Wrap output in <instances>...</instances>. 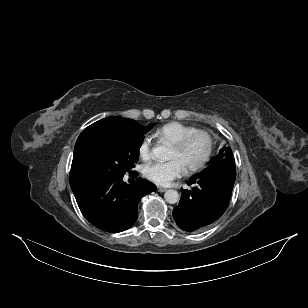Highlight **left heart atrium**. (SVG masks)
<instances>
[{
	"label": "left heart atrium",
	"instance_id": "left-heart-atrium-1",
	"mask_svg": "<svg viewBox=\"0 0 308 308\" xmlns=\"http://www.w3.org/2000/svg\"><path fill=\"white\" fill-rule=\"evenodd\" d=\"M186 171L179 159L166 162H155L144 168L146 178L158 185H169L174 179L179 178Z\"/></svg>",
	"mask_w": 308,
	"mask_h": 308
}]
</instances>
